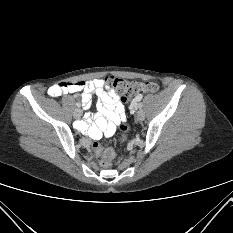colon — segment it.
<instances>
[{
    "instance_id": "obj_1",
    "label": "colon",
    "mask_w": 233,
    "mask_h": 233,
    "mask_svg": "<svg viewBox=\"0 0 233 233\" xmlns=\"http://www.w3.org/2000/svg\"><path fill=\"white\" fill-rule=\"evenodd\" d=\"M106 85L115 93L121 95L122 102H129L134 96L142 93H153L158 90L157 84L153 82L128 81L122 78L110 76L106 78ZM122 132L121 140L126 142L129 134V126L126 123L120 125ZM92 150L96 156L101 157L103 166H110L114 159V151L110 148H103L98 142H93Z\"/></svg>"
}]
</instances>
